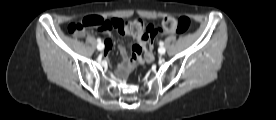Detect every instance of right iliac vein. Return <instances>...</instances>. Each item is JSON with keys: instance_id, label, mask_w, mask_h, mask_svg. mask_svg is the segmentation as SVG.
Listing matches in <instances>:
<instances>
[{"instance_id": "1", "label": "right iliac vein", "mask_w": 276, "mask_h": 120, "mask_svg": "<svg viewBox=\"0 0 276 120\" xmlns=\"http://www.w3.org/2000/svg\"><path fill=\"white\" fill-rule=\"evenodd\" d=\"M103 48H104V45H103V44H98V45H97V49H98V50L101 51V50H103Z\"/></svg>"}]
</instances>
